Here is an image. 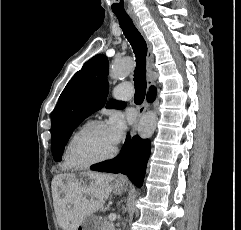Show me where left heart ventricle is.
<instances>
[{
    "instance_id": "obj_1",
    "label": "left heart ventricle",
    "mask_w": 241,
    "mask_h": 230,
    "mask_svg": "<svg viewBox=\"0 0 241 230\" xmlns=\"http://www.w3.org/2000/svg\"><path fill=\"white\" fill-rule=\"evenodd\" d=\"M115 147L106 126L96 127L79 138L75 144L73 155L77 162H87L108 155Z\"/></svg>"
}]
</instances>
